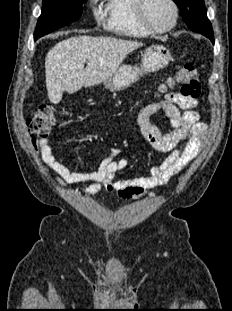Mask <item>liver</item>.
<instances>
[{
	"label": "liver",
	"mask_w": 232,
	"mask_h": 311,
	"mask_svg": "<svg viewBox=\"0 0 232 311\" xmlns=\"http://www.w3.org/2000/svg\"><path fill=\"white\" fill-rule=\"evenodd\" d=\"M140 42L110 37L76 36L57 43L45 58L48 98L57 104L64 91L98 85L110 78ZM86 68H84L85 62Z\"/></svg>",
	"instance_id": "liver-1"
}]
</instances>
